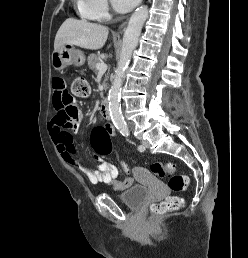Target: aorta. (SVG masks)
<instances>
[{
	"label": "aorta",
	"mask_w": 248,
	"mask_h": 258,
	"mask_svg": "<svg viewBox=\"0 0 248 258\" xmlns=\"http://www.w3.org/2000/svg\"><path fill=\"white\" fill-rule=\"evenodd\" d=\"M148 17V7L141 6L131 16L123 36L122 50L114 80L109 90V112L115 127L121 133H128V127L121 112L120 95L125 70L131 60L132 52L136 48L144 22Z\"/></svg>",
	"instance_id": "1"
}]
</instances>
